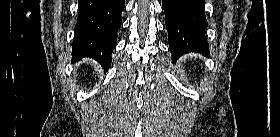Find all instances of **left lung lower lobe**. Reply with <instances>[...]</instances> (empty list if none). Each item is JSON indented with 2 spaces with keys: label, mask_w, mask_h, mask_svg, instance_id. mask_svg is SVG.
I'll use <instances>...</instances> for the list:
<instances>
[{
  "label": "left lung lower lobe",
  "mask_w": 280,
  "mask_h": 137,
  "mask_svg": "<svg viewBox=\"0 0 280 137\" xmlns=\"http://www.w3.org/2000/svg\"><path fill=\"white\" fill-rule=\"evenodd\" d=\"M204 0H162L173 58L188 52L208 54Z\"/></svg>",
  "instance_id": "obj_1"
}]
</instances>
